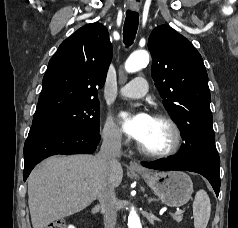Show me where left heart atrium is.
Segmentation results:
<instances>
[{
	"label": "left heart atrium",
	"instance_id": "left-heart-atrium-1",
	"mask_svg": "<svg viewBox=\"0 0 238 228\" xmlns=\"http://www.w3.org/2000/svg\"><path fill=\"white\" fill-rule=\"evenodd\" d=\"M152 117L146 112L121 114V122L124 132L131 138L140 141L146 134Z\"/></svg>",
	"mask_w": 238,
	"mask_h": 228
}]
</instances>
